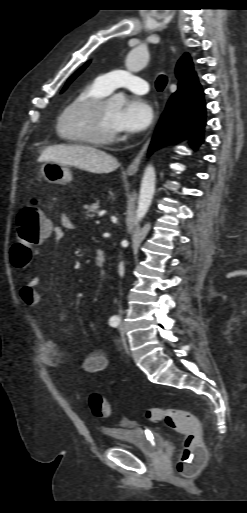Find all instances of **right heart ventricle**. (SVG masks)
I'll list each match as a JSON object with an SVG mask.
<instances>
[{
    "instance_id": "1",
    "label": "right heart ventricle",
    "mask_w": 247,
    "mask_h": 513,
    "mask_svg": "<svg viewBox=\"0 0 247 513\" xmlns=\"http://www.w3.org/2000/svg\"><path fill=\"white\" fill-rule=\"evenodd\" d=\"M109 93L107 91H105L100 85L99 83L95 80L89 84H87L84 88H82L74 97L73 99L65 106V108L63 109V111L61 112L60 116H59V119H58V133L60 135V137L68 142H72V143H81V141L77 140V139H74L70 136H68L66 133L63 132L62 128H61V125H60V117L62 115V113L64 112V110L74 104H77L85 99H88V98H93V97H99V98H102V97H106Z\"/></svg>"
}]
</instances>
